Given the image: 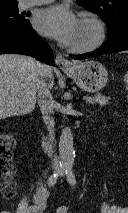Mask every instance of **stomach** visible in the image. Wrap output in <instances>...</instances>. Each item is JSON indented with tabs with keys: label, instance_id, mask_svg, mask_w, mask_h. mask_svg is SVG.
I'll use <instances>...</instances> for the list:
<instances>
[{
	"label": "stomach",
	"instance_id": "1",
	"mask_svg": "<svg viewBox=\"0 0 128 213\" xmlns=\"http://www.w3.org/2000/svg\"><path fill=\"white\" fill-rule=\"evenodd\" d=\"M65 73L74 79L76 84L88 92H97L107 83L108 73L106 68L98 61H85L75 63L71 70Z\"/></svg>",
	"mask_w": 128,
	"mask_h": 213
}]
</instances>
